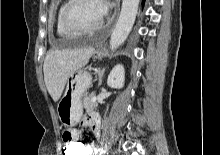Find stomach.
Masks as SVG:
<instances>
[{"label":"stomach","mask_w":220,"mask_h":155,"mask_svg":"<svg viewBox=\"0 0 220 155\" xmlns=\"http://www.w3.org/2000/svg\"><path fill=\"white\" fill-rule=\"evenodd\" d=\"M102 52H96V58H101ZM92 77L83 70H78L67 81L66 90L57 105V115L64 126H75L82 117V98L91 87Z\"/></svg>","instance_id":"0dacf381"}]
</instances>
